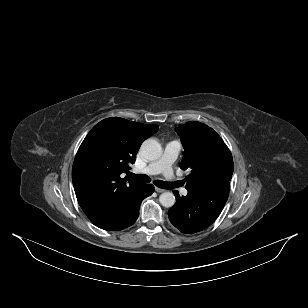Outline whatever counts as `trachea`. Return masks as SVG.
<instances>
[{"mask_svg":"<svg viewBox=\"0 0 308 308\" xmlns=\"http://www.w3.org/2000/svg\"><path fill=\"white\" fill-rule=\"evenodd\" d=\"M129 178L131 180L137 181L139 183H149L150 182V178L145 174H137L136 175V174L130 173ZM154 184L157 187L162 188V189H172L175 186L179 185V183L173 184V183H170V182H167V181H162V180H155Z\"/></svg>","mask_w":308,"mask_h":308,"instance_id":"obj_1","label":"trachea"}]
</instances>
